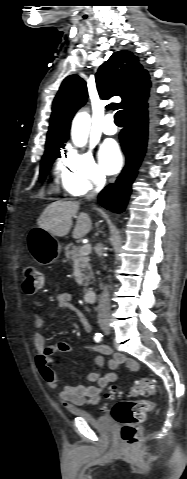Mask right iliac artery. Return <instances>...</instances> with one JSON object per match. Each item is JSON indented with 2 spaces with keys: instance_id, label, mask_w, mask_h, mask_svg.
Listing matches in <instances>:
<instances>
[{
  "instance_id": "right-iliac-artery-1",
  "label": "right iliac artery",
  "mask_w": 187,
  "mask_h": 479,
  "mask_svg": "<svg viewBox=\"0 0 187 479\" xmlns=\"http://www.w3.org/2000/svg\"><path fill=\"white\" fill-rule=\"evenodd\" d=\"M103 335L101 333H96L94 336L95 342H100L102 340Z\"/></svg>"
}]
</instances>
